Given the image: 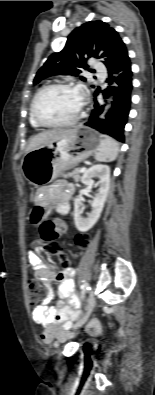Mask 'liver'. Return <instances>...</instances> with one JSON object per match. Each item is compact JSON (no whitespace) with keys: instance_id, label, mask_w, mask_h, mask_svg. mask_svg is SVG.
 I'll use <instances>...</instances> for the list:
<instances>
[{"instance_id":"1","label":"liver","mask_w":155,"mask_h":395,"mask_svg":"<svg viewBox=\"0 0 155 395\" xmlns=\"http://www.w3.org/2000/svg\"><path fill=\"white\" fill-rule=\"evenodd\" d=\"M60 131L51 130L39 133L30 139L27 151L40 147L43 144L51 142Z\"/></svg>"}]
</instances>
